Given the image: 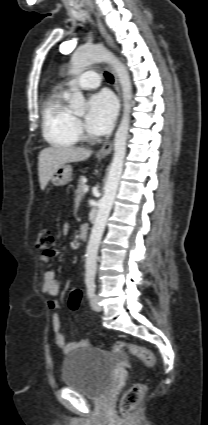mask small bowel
<instances>
[{
	"mask_svg": "<svg viewBox=\"0 0 208 425\" xmlns=\"http://www.w3.org/2000/svg\"><path fill=\"white\" fill-rule=\"evenodd\" d=\"M55 255H56L55 252L52 255L42 254L40 256V260L44 263H49L51 258ZM59 291H60V283L56 277L55 271L51 269L47 270L44 274L43 292L50 297L48 300V307L51 310H57L59 308V304L57 300L55 299ZM52 326H53L55 342L64 353H69L76 348L86 346L88 344L87 338H83L78 342H66L64 334H63V330H62L60 315L57 312L53 313Z\"/></svg>",
	"mask_w": 208,
	"mask_h": 425,
	"instance_id": "small-bowel-1",
	"label": "small bowel"
}]
</instances>
